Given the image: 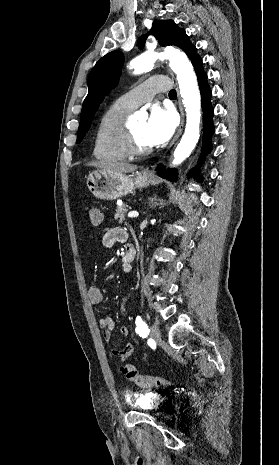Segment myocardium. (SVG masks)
<instances>
[{"instance_id":"f54148a6","label":"myocardium","mask_w":279,"mask_h":465,"mask_svg":"<svg viewBox=\"0 0 279 465\" xmlns=\"http://www.w3.org/2000/svg\"><path fill=\"white\" fill-rule=\"evenodd\" d=\"M123 148L127 155L130 156H145L152 152V147L141 148L137 145L134 134L130 126H126L122 141Z\"/></svg>"}]
</instances>
